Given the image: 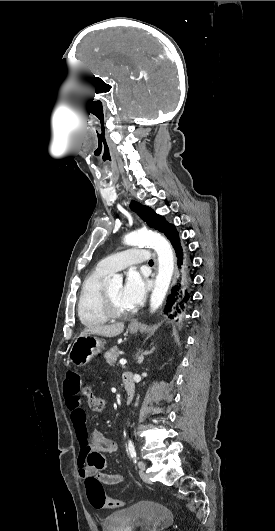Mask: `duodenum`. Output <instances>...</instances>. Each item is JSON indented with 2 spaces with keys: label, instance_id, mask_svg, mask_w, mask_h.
<instances>
[{
  "label": "duodenum",
  "instance_id": "duodenum-1",
  "mask_svg": "<svg viewBox=\"0 0 275 531\" xmlns=\"http://www.w3.org/2000/svg\"><path fill=\"white\" fill-rule=\"evenodd\" d=\"M122 383L125 390V402L129 404L132 402L135 395V383L133 376L126 372L122 375Z\"/></svg>",
  "mask_w": 275,
  "mask_h": 531
}]
</instances>
